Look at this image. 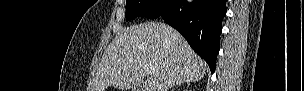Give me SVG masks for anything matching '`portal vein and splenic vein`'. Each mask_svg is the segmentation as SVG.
Masks as SVG:
<instances>
[{
	"instance_id": "obj_1",
	"label": "portal vein and splenic vein",
	"mask_w": 304,
	"mask_h": 91,
	"mask_svg": "<svg viewBox=\"0 0 304 91\" xmlns=\"http://www.w3.org/2000/svg\"><path fill=\"white\" fill-rule=\"evenodd\" d=\"M144 71H145L147 74L151 75L152 72H153V69H152L150 66L145 65V66H144Z\"/></svg>"
}]
</instances>
